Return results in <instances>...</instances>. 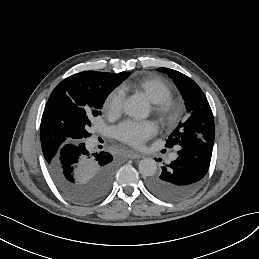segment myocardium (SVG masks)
I'll return each mask as SVG.
<instances>
[{"label": "myocardium", "instance_id": "myocardium-1", "mask_svg": "<svg viewBox=\"0 0 259 259\" xmlns=\"http://www.w3.org/2000/svg\"><path fill=\"white\" fill-rule=\"evenodd\" d=\"M154 115L167 129L174 128L182 115V105L175 99H166L159 103H153Z\"/></svg>", "mask_w": 259, "mask_h": 259}]
</instances>
